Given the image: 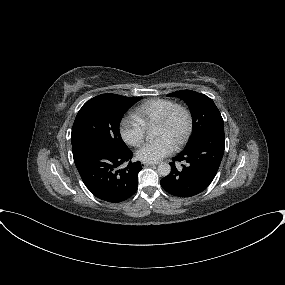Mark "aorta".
<instances>
[{
  "mask_svg": "<svg viewBox=\"0 0 285 285\" xmlns=\"http://www.w3.org/2000/svg\"><path fill=\"white\" fill-rule=\"evenodd\" d=\"M158 174L161 176H167L171 172V166L168 163H161L157 168Z\"/></svg>",
  "mask_w": 285,
  "mask_h": 285,
  "instance_id": "762f6f07",
  "label": "aorta"
}]
</instances>
